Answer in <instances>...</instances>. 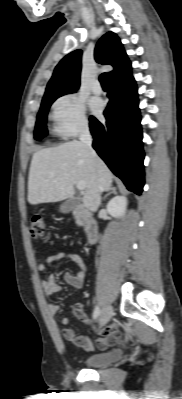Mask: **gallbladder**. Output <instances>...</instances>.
I'll return each instance as SVG.
<instances>
[{"instance_id": "gallbladder-1", "label": "gallbladder", "mask_w": 182, "mask_h": 399, "mask_svg": "<svg viewBox=\"0 0 182 399\" xmlns=\"http://www.w3.org/2000/svg\"><path fill=\"white\" fill-rule=\"evenodd\" d=\"M79 202H80V197L77 196L71 197L60 206V211L62 213H68L72 209H74L79 204Z\"/></svg>"}]
</instances>
